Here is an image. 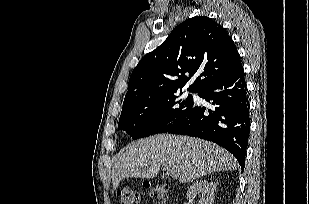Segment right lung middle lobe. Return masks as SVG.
<instances>
[{
	"label": "right lung middle lobe",
	"mask_w": 309,
	"mask_h": 204,
	"mask_svg": "<svg viewBox=\"0 0 309 204\" xmlns=\"http://www.w3.org/2000/svg\"><path fill=\"white\" fill-rule=\"evenodd\" d=\"M193 107L191 95L180 100L177 92L138 98L123 103L118 129L133 139L164 133L180 122Z\"/></svg>",
	"instance_id": "right-lung-middle-lobe-1"
}]
</instances>
